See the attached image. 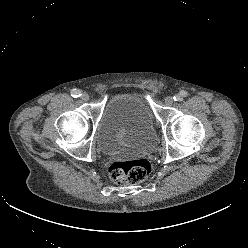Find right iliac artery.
I'll use <instances>...</instances> for the list:
<instances>
[{"label": "right iliac artery", "mask_w": 248, "mask_h": 248, "mask_svg": "<svg viewBox=\"0 0 248 248\" xmlns=\"http://www.w3.org/2000/svg\"><path fill=\"white\" fill-rule=\"evenodd\" d=\"M71 96L74 97V98H77V97L81 96V91L77 90V89H73L71 91Z\"/></svg>", "instance_id": "right-iliac-artery-1"}]
</instances>
